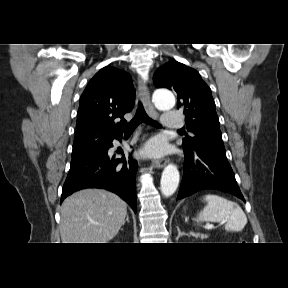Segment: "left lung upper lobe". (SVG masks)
<instances>
[{"label": "left lung upper lobe", "mask_w": 288, "mask_h": 288, "mask_svg": "<svg viewBox=\"0 0 288 288\" xmlns=\"http://www.w3.org/2000/svg\"><path fill=\"white\" fill-rule=\"evenodd\" d=\"M153 82L158 88H168L177 93V108H183L186 128L192 133L183 139V149L200 148L227 160L211 89L200 74L171 60L155 72Z\"/></svg>", "instance_id": "1"}]
</instances>
